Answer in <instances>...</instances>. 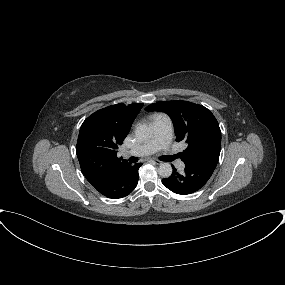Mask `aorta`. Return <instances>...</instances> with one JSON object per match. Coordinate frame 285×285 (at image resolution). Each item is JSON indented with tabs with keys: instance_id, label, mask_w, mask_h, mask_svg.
Returning <instances> with one entry per match:
<instances>
[{
	"instance_id": "obj_1",
	"label": "aorta",
	"mask_w": 285,
	"mask_h": 285,
	"mask_svg": "<svg viewBox=\"0 0 285 285\" xmlns=\"http://www.w3.org/2000/svg\"><path fill=\"white\" fill-rule=\"evenodd\" d=\"M153 130L146 124H139L135 129V135L142 141L149 140L152 137ZM172 166L169 163H161L158 168V173L163 178H168L172 174Z\"/></svg>"
}]
</instances>
